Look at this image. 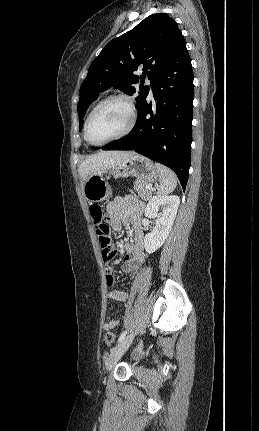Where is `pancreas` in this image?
<instances>
[{
  "mask_svg": "<svg viewBox=\"0 0 259 431\" xmlns=\"http://www.w3.org/2000/svg\"><path fill=\"white\" fill-rule=\"evenodd\" d=\"M147 183L143 182L140 179H136L134 181V189L138 193V195L144 199L149 200L152 196V191L146 188Z\"/></svg>",
  "mask_w": 259,
  "mask_h": 431,
  "instance_id": "cf45deb5",
  "label": "pancreas"
}]
</instances>
